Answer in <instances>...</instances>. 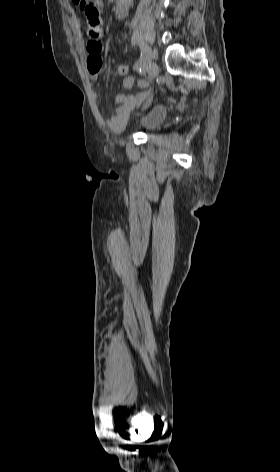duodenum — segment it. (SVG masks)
Segmentation results:
<instances>
[{"mask_svg":"<svg viewBox=\"0 0 280 472\" xmlns=\"http://www.w3.org/2000/svg\"><path fill=\"white\" fill-rule=\"evenodd\" d=\"M126 14H127V11L124 7H121V6L117 7L116 16H117L118 19L124 18L126 16Z\"/></svg>","mask_w":280,"mask_h":472,"instance_id":"410a0bca","label":"duodenum"}]
</instances>
